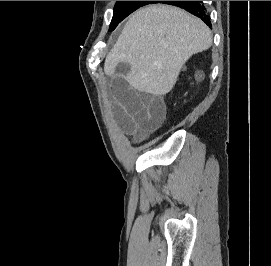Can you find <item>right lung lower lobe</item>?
Here are the masks:
<instances>
[{"label":"right lung lower lobe","mask_w":271,"mask_h":266,"mask_svg":"<svg viewBox=\"0 0 271 266\" xmlns=\"http://www.w3.org/2000/svg\"><path fill=\"white\" fill-rule=\"evenodd\" d=\"M157 3H165L181 7L193 15L202 19L209 27H211L210 19L205 11L202 1H157Z\"/></svg>","instance_id":"right-lung-lower-lobe-1"}]
</instances>
